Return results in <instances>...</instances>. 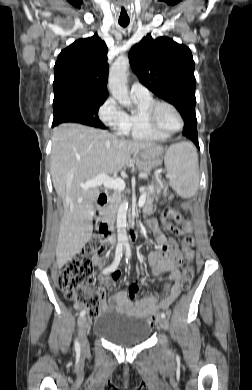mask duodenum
<instances>
[{
	"label": "duodenum",
	"instance_id": "duodenum-1",
	"mask_svg": "<svg viewBox=\"0 0 252 390\" xmlns=\"http://www.w3.org/2000/svg\"><path fill=\"white\" fill-rule=\"evenodd\" d=\"M109 202V196L105 192H101L97 197V204L101 208H105ZM98 230L100 233L104 234L110 241L114 239V234L111 229V222L109 220H102L98 223ZM127 236L129 241H136L138 234L137 232L130 227L127 231Z\"/></svg>",
	"mask_w": 252,
	"mask_h": 390
}]
</instances>
